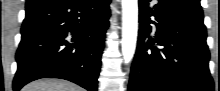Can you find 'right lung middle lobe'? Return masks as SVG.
I'll return each instance as SVG.
<instances>
[{
    "instance_id": "dd1d6c3e",
    "label": "right lung middle lobe",
    "mask_w": 220,
    "mask_h": 91,
    "mask_svg": "<svg viewBox=\"0 0 220 91\" xmlns=\"http://www.w3.org/2000/svg\"><path fill=\"white\" fill-rule=\"evenodd\" d=\"M34 4H38V3H32L30 0H28L27 3H26V7H27V6L34 5Z\"/></svg>"
}]
</instances>
